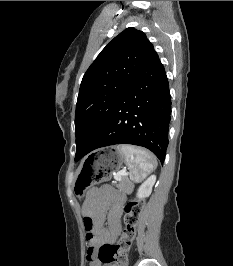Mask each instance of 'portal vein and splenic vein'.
<instances>
[{
	"mask_svg": "<svg viewBox=\"0 0 233 266\" xmlns=\"http://www.w3.org/2000/svg\"><path fill=\"white\" fill-rule=\"evenodd\" d=\"M123 175H126V170H123V171H121V172H118V173L115 175V179H116L117 181H121Z\"/></svg>",
	"mask_w": 233,
	"mask_h": 266,
	"instance_id": "1",
	"label": "portal vein and splenic vein"
}]
</instances>
